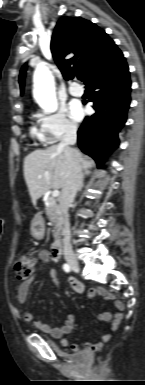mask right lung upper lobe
Wrapping results in <instances>:
<instances>
[{
	"label": "right lung upper lobe",
	"instance_id": "right-lung-upper-lobe-1",
	"mask_svg": "<svg viewBox=\"0 0 145 385\" xmlns=\"http://www.w3.org/2000/svg\"><path fill=\"white\" fill-rule=\"evenodd\" d=\"M51 51L66 80L80 74L87 86L126 62L103 29L80 17L59 20L52 36ZM25 70L26 66H23L19 76L22 92Z\"/></svg>",
	"mask_w": 145,
	"mask_h": 385
}]
</instances>
